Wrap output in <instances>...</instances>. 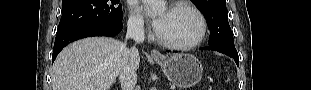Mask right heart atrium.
I'll return each instance as SVG.
<instances>
[{"label": "right heart atrium", "instance_id": "d8ad5b80", "mask_svg": "<svg viewBox=\"0 0 311 90\" xmlns=\"http://www.w3.org/2000/svg\"><path fill=\"white\" fill-rule=\"evenodd\" d=\"M128 28L132 33L143 34L146 31L145 21L135 5L130 8Z\"/></svg>", "mask_w": 311, "mask_h": 90}]
</instances>
